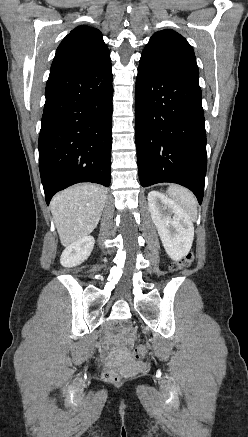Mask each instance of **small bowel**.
Segmentation results:
<instances>
[{"mask_svg": "<svg viewBox=\"0 0 248 437\" xmlns=\"http://www.w3.org/2000/svg\"><path fill=\"white\" fill-rule=\"evenodd\" d=\"M114 342H122L129 344L131 343V338L127 335V329L122 328V330L114 337Z\"/></svg>", "mask_w": 248, "mask_h": 437, "instance_id": "1", "label": "small bowel"}]
</instances>
